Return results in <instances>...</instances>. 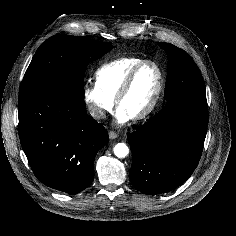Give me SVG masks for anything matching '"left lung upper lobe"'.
Returning <instances> with one entry per match:
<instances>
[{"instance_id":"5c2ea615","label":"left lung upper lobe","mask_w":236,"mask_h":236,"mask_svg":"<svg viewBox=\"0 0 236 236\" xmlns=\"http://www.w3.org/2000/svg\"><path fill=\"white\" fill-rule=\"evenodd\" d=\"M168 56L165 86L167 102L189 96H206L201 72L192 58L182 49L168 43H158Z\"/></svg>"}]
</instances>
